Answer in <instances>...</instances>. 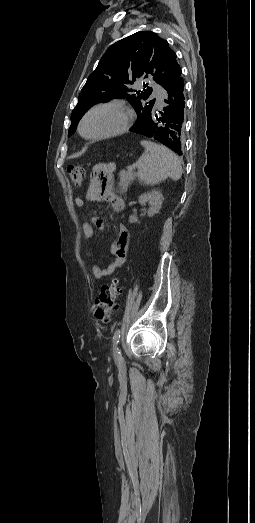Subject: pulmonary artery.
Here are the masks:
<instances>
[{
    "label": "pulmonary artery",
    "mask_w": 255,
    "mask_h": 523,
    "mask_svg": "<svg viewBox=\"0 0 255 523\" xmlns=\"http://www.w3.org/2000/svg\"><path fill=\"white\" fill-rule=\"evenodd\" d=\"M152 93L150 94V99L153 101L152 105L154 108L159 109L162 107L164 99V94L162 93V85L159 82L153 81Z\"/></svg>",
    "instance_id": "1"
}]
</instances>
